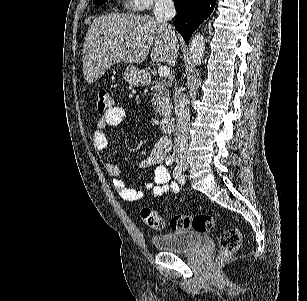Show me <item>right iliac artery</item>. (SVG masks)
Returning a JSON list of instances; mask_svg holds the SVG:
<instances>
[{
  "instance_id": "82829eb1",
  "label": "right iliac artery",
  "mask_w": 307,
  "mask_h": 301,
  "mask_svg": "<svg viewBox=\"0 0 307 301\" xmlns=\"http://www.w3.org/2000/svg\"><path fill=\"white\" fill-rule=\"evenodd\" d=\"M174 157L173 156H168L167 158H166V164L167 165H172L173 163H174Z\"/></svg>"
}]
</instances>
